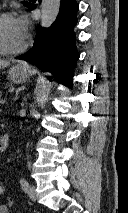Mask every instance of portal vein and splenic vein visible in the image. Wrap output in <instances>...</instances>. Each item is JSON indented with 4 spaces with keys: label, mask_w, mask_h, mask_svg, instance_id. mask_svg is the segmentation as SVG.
Listing matches in <instances>:
<instances>
[{
    "label": "portal vein and splenic vein",
    "mask_w": 128,
    "mask_h": 213,
    "mask_svg": "<svg viewBox=\"0 0 128 213\" xmlns=\"http://www.w3.org/2000/svg\"><path fill=\"white\" fill-rule=\"evenodd\" d=\"M0 103H1V104H5V100H1Z\"/></svg>",
    "instance_id": "portal-vein-and-splenic-vein-1"
}]
</instances>
